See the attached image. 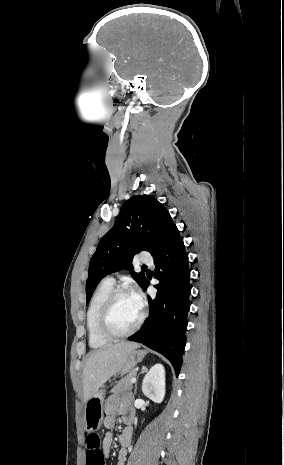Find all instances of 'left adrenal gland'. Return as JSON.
I'll list each match as a JSON object with an SVG mask.
<instances>
[{"instance_id":"left-adrenal-gland-1","label":"left adrenal gland","mask_w":284,"mask_h":465,"mask_svg":"<svg viewBox=\"0 0 284 465\" xmlns=\"http://www.w3.org/2000/svg\"><path fill=\"white\" fill-rule=\"evenodd\" d=\"M141 373H147V369H146V367H142V369H141ZM141 373H140V375H141ZM137 385H138V381H136V383H135V391H134V395H136V393H137Z\"/></svg>"}]
</instances>
